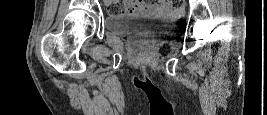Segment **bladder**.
Instances as JSON below:
<instances>
[{
	"label": "bladder",
	"instance_id": "1",
	"mask_svg": "<svg viewBox=\"0 0 267 115\" xmlns=\"http://www.w3.org/2000/svg\"><path fill=\"white\" fill-rule=\"evenodd\" d=\"M158 14L124 13L108 15L105 25L108 31L117 36H131L151 31L152 25L160 18Z\"/></svg>",
	"mask_w": 267,
	"mask_h": 115
}]
</instances>
